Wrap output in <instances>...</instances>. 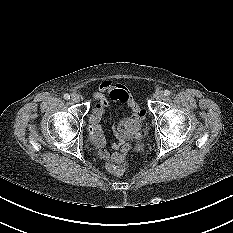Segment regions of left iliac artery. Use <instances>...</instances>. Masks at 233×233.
<instances>
[{
  "label": "left iliac artery",
  "instance_id": "44dca946",
  "mask_svg": "<svg viewBox=\"0 0 233 233\" xmlns=\"http://www.w3.org/2000/svg\"><path fill=\"white\" fill-rule=\"evenodd\" d=\"M164 95H165V96H169V95H170V91H169V90H165V91H164Z\"/></svg>",
  "mask_w": 233,
  "mask_h": 233
}]
</instances>
